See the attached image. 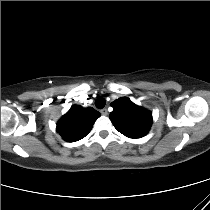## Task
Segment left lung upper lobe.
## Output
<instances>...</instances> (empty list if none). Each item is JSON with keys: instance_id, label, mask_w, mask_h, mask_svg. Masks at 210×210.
<instances>
[{"instance_id": "5c2ea615", "label": "left lung upper lobe", "mask_w": 210, "mask_h": 210, "mask_svg": "<svg viewBox=\"0 0 210 210\" xmlns=\"http://www.w3.org/2000/svg\"><path fill=\"white\" fill-rule=\"evenodd\" d=\"M111 106L110 119L114 127L129 138H140L147 134L152 125V114L134 104L128 98L115 100Z\"/></svg>"}]
</instances>
